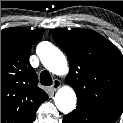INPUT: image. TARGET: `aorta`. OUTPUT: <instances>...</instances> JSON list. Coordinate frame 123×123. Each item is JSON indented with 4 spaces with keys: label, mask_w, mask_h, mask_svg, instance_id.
I'll use <instances>...</instances> for the list:
<instances>
[{
    "label": "aorta",
    "mask_w": 123,
    "mask_h": 123,
    "mask_svg": "<svg viewBox=\"0 0 123 123\" xmlns=\"http://www.w3.org/2000/svg\"><path fill=\"white\" fill-rule=\"evenodd\" d=\"M38 55L44 67L51 73L64 76L69 68L64 54L49 42H42L38 46ZM55 105L62 113H70L76 107V94L69 86L60 88L55 97Z\"/></svg>",
    "instance_id": "1"
}]
</instances>
